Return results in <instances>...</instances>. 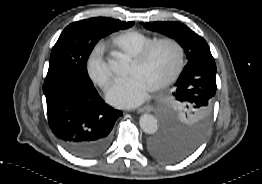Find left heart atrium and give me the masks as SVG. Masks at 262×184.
Returning a JSON list of instances; mask_svg holds the SVG:
<instances>
[{
	"label": "left heart atrium",
	"instance_id": "obj_1",
	"mask_svg": "<svg viewBox=\"0 0 262 184\" xmlns=\"http://www.w3.org/2000/svg\"><path fill=\"white\" fill-rule=\"evenodd\" d=\"M153 87L141 76L132 75L116 82L107 92V101L116 107L132 108L149 98Z\"/></svg>",
	"mask_w": 262,
	"mask_h": 184
}]
</instances>
